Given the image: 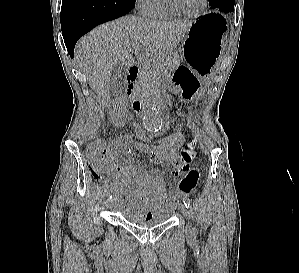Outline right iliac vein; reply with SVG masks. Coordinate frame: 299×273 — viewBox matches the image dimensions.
<instances>
[{
    "label": "right iliac vein",
    "instance_id": "right-iliac-vein-1",
    "mask_svg": "<svg viewBox=\"0 0 299 273\" xmlns=\"http://www.w3.org/2000/svg\"><path fill=\"white\" fill-rule=\"evenodd\" d=\"M112 204L115 206L116 205V199L115 198H113V200H112Z\"/></svg>",
    "mask_w": 299,
    "mask_h": 273
}]
</instances>
